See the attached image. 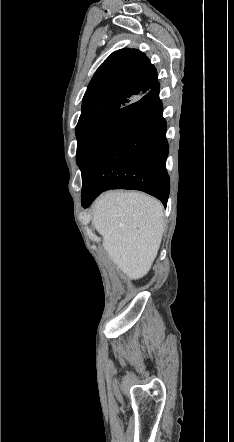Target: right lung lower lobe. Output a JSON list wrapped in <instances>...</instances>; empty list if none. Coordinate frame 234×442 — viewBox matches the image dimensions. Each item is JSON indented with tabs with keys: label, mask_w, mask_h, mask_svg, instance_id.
Masks as SVG:
<instances>
[{
	"label": "right lung lower lobe",
	"mask_w": 234,
	"mask_h": 442,
	"mask_svg": "<svg viewBox=\"0 0 234 442\" xmlns=\"http://www.w3.org/2000/svg\"><path fill=\"white\" fill-rule=\"evenodd\" d=\"M166 121L159 83L144 96L121 108L80 165L82 205L108 189H135L166 206L170 181Z\"/></svg>",
	"instance_id": "1"
}]
</instances>
